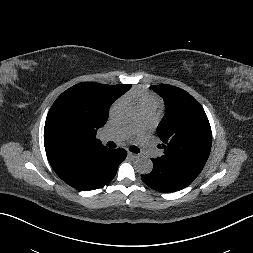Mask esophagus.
Here are the masks:
<instances>
[{
	"instance_id": "obj_1",
	"label": "esophagus",
	"mask_w": 253,
	"mask_h": 253,
	"mask_svg": "<svg viewBox=\"0 0 253 253\" xmlns=\"http://www.w3.org/2000/svg\"><path fill=\"white\" fill-rule=\"evenodd\" d=\"M128 156L131 157L132 159H138L140 157L139 154H135L132 152H128Z\"/></svg>"
}]
</instances>
